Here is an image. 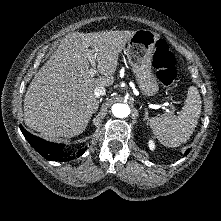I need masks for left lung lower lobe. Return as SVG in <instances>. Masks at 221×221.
<instances>
[{"label":"left lung lower lobe","instance_id":"left-lung-lower-lobe-1","mask_svg":"<svg viewBox=\"0 0 221 221\" xmlns=\"http://www.w3.org/2000/svg\"><path fill=\"white\" fill-rule=\"evenodd\" d=\"M190 149H188L186 152H185V155H187L189 153Z\"/></svg>","mask_w":221,"mask_h":221}]
</instances>
